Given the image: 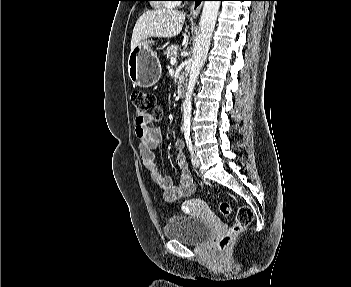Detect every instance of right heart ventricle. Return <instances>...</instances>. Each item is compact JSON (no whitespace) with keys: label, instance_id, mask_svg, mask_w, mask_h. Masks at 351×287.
I'll return each instance as SVG.
<instances>
[{"label":"right heart ventricle","instance_id":"obj_1","mask_svg":"<svg viewBox=\"0 0 351 287\" xmlns=\"http://www.w3.org/2000/svg\"><path fill=\"white\" fill-rule=\"evenodd\" d=\"M156 7L157 8H169V6L164 4V3L157 4Z\"/></svg>","mask_w":351,"mask_h":287}]
</instances>
